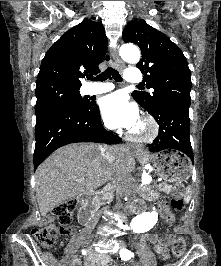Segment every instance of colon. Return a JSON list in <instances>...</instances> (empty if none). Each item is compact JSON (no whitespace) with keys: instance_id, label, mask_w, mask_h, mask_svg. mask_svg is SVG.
Masks as SVG:
<instances>
[{"instance_id":"obj_1","label":"colon","mask_w":221,"mask_h":266,"mask_svg":"<svg viewBox=\"0 0 221 266\" xmlns=\"http://www.w3.org/2000/svg\"><path fill=\"white\" fill-rule=\"evenodd\" d=\"M184 190L183 185H177L175 187V193L170 200V207L174 211H180L183 207L182 193ZM76 209V202L74 200L65 201L52 210L53 216L58 220L59 227L45 226L41 228H35L33 230L34 237L45 248H51L54 246L58 235H68L72 232V219ZM161 216L163 220L171 224L174 221V214L169 209L162 205ZM172 239V252L175 257H180L186 250V242L182 237H171V235L163 233L159 235V242L166 244Z\"/></svg>"}]
</instances>
